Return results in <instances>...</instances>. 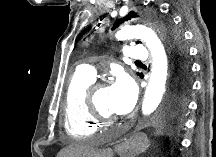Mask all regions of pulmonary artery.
<instances>
[{
  "label": "pulmonary artery",
  "mask_w": 216,
  "mask_h": 157,
  "mask_svg": "<svg viewBox=\"0 0 216 157\" xmlns=\"http://www.w3.org/2000/svg\"><path fill=\"white\" fill-rule=\"evenodd\" d=\"M126 56L131 60L145 61L148 58V52L144 46L131 45L128 48ZM77 73L95 79L96 69L92 64H82L78 67Z\"/></svg>",
  "instance_id": "1"
}]
</instances>
